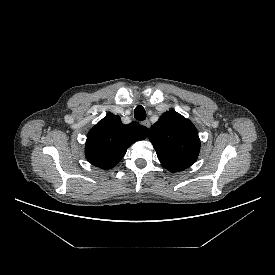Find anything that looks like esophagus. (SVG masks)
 <instances>
[{
	"instance_id": "1",
	"label": "esophagus",
	"mask_w": 275,
	"mask_h": 275,
	"mask_svg": "<svg viewBox=\"0 0 275 275\" xmlns=\"http://www.w3.org/2000/svg\"><path fill=\"white\" fill-rule=\"evenodd\" d=\"M142 125L145 126V127H147V128H150V122H149V120L143 121Z\"/></svg>"
}]
</instances>
